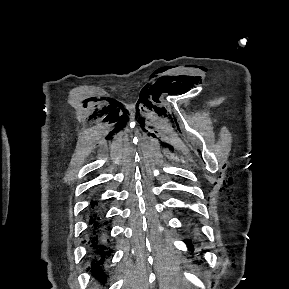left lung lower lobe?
<instances>
[{"mask_svg":"<svg viewBox=\"0 0 289 289\" xmlns=\"http://www.w3.org/2000/svg\"><path fill=\"white\" fill-rule=\"evenodd\" d=\"M186 243L188 244L190 249H193V245L191 244V242L189 240H186Z\"/></svg>","mask_w":289,"mask_h":289,"instance_id":"left-lung-lower-lobe-1","label":"left lung lower lobe"}]
</instances>
